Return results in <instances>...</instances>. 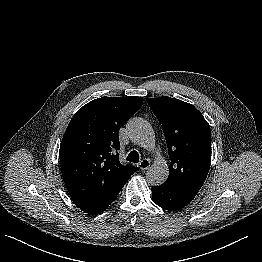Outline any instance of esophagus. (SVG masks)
<instances>
[{"label":"esophagus","mask_w":262,"mask_h":262,"mask_svg":"<svg viewBox=\"0 0 262 262\" xmlns=\"http://www.w3.org/2000/svg\"><path fill=\"white\" fill-rule=\"evenodd\" d=\"M137 167L141 170H147L150 167V160L143 159L138 164Z\"/></svg>","instance_id":"esophagus-1"}]
</instances>
